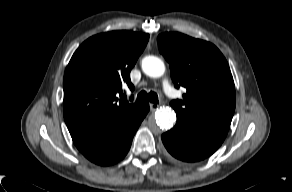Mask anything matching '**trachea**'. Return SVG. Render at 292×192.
Masks as SVG:
<instances>
[{
	"label": "trachea",
	"instance_id": "obj_1",
	"mask_svg": "<svg viewBox=\"0 0 292 192\" xmlns=\"http://www.w3.org/2000/svg\"><path fill=\"white\" fill-rule=\"evenodd\" d=\"M152 102V103H158V96L155 92H149L147 93L146 91H141L136 99V102L138 103H143V102Z\"/></svg>",
	"mask_w": 292,
	"mask_h": 192
}]
</instances>
